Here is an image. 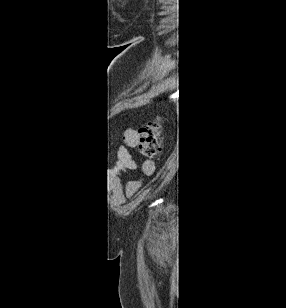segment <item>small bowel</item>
<instances>
[{
	"instance_id": "1",
	"label": "small bowel",
	"mask_w": 286,
	"mask_h": 308,
	"mask_svg": "<svg viewBox=\"0 0 286 308\" xmlns=\"http://www.w3.org/2000/svg\"><path fill=\"white\" fill-rule=\"evenodd\" d=\"M138 137H139L138 133L131 128H128L124 131V141L128 147L135 146V144L137 143ZM123 154L126 158L127 168L132 171H135L137 169V165L132 159L130 152L126 149L123 151ZM142 169L145 174L151 175L154 171L152 162H149V161L144 162L142 165Z\"/></svg>"
}]
</instances>
